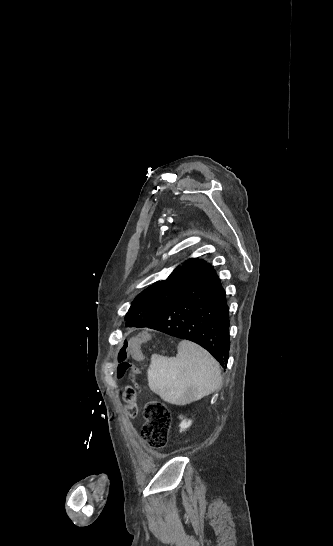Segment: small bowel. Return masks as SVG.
<instances>
[{
	"instance_id": "small-bowel-1",
	"label": "small bowel",
	"mask_w": 333,
	"mask_h": 546,
	"mask_svg": "<svg viewBox=\"0 0 333 546\" xmlns=\"http://www.w3.org/2000/svg\"><path fill=\"white\" fill-rule=\"evenodd\" d=\"M146 337L149 339H151L153 336L150 334H148L146 336L145 333H138L137 334V337L135 338L134 340V343L132 345V347L130 348V357L132 359V361H135L136 364L138 365H141L144 363L145 361V354L143 352V340L146 339ZM137 404L135 403H128L126 405V408L128 409V416L130 417H135L136 414L138 413V408H137Z\"/></svg>"
}]
</instances>
